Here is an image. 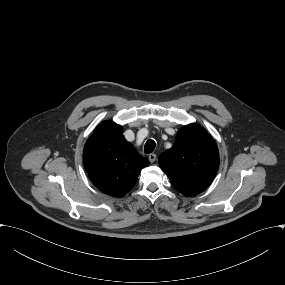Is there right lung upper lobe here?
Instances as JSON below:
<instances>
[{
  "label": "right lung upper lobe",
  "instance_id": "1",
  "mask_svg": "<svg viewBox=\"0 0 285 285\" xmlns=\"http://www.w3.org/2000/svg\"><path fill=\"white\" fill-rule=\"evenodd\" d=\"M83 161L92 183L114 197L129 192L140 171L149 165L148 159L126 141L123 128L114 122L96 127L85 145Z\"/></svg>",
  "mask_w": 285,
  "mask_h": 285
}]
</instances>
